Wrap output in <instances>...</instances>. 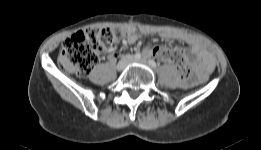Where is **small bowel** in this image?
<instances>
[{"instance_id":"small-bowel-1","label":"small bowel","mask_w":261,"mask_h":150,"mask_svg":"<svg viewBox=\"0 0 261 150\" xmlns=\"http://www.w3.org/2000/svg\"><path fill=\"white\" fill-rule=\"evenodd\" d=\"M150 31L146 29H131L124 43L133 44L138 41L141 34H149ZM182 40L190 46L191 53L195 56L194 61V79L205 76L214 67V59L206 47L196 38L192 36H184ZM153 55L152 49H145L143 51L144 57H150ZM115 56H112L114 59Z\"/></svg>"}]
</instances>
